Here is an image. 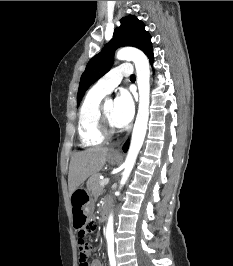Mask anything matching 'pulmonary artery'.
<instances>
[{
    "label": "pulmonary artery",
    "instance_id": "obj_1",
    "mask_svg": "<svg viewBox=\"0 0 233 266\" xmlns=\"http://www.w3.org/2000/svg\"><path fill=\"white\" fill-rule=\"evenodd\" d=\"M131 73L132 66L130 64H122L113 68L101 77L94 87L103 93L108 94L120 83L123 77H128Z\"/></svg>",
    "mask_w": 233,
    "mask_h": 266
}]
</instances>
